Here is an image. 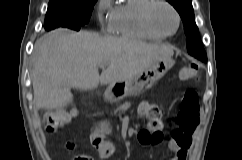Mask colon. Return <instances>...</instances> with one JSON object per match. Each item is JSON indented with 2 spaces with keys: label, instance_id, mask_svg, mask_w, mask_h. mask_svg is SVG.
Wrapping results in <instances>:
<instances>
[{
  "label": "colon",
  "instance_id": "5ec220e1",
  "mask_svg": "<svg viewBox=\"0 0 242 160\" xmlns=\"http://www.w3.org/2000/svg\"><path fill=\"white\" fill-rule=\"evenodd\" d=\"M199 75L198 64H190L181 71V79L191 80ZM147 114L152 119L150 129H144L139 134L140 142L143 145L158 144L163 139V134L159 130V119L162 110L156 106H149L146 109ZM74 110H58L45 115V129L48 133L57 132L62 126L69 123L74 117ZM199 123V100L195 90H187L182 98L180 111L178 114V127L174 129L172 135L180 142L182 146L186 145L184 134H190ZM106 142H100L97 153L101 157L110 155V151L104 146ZM74 160H93L88 154H80Z\"/></svg>",
  "mask_w": 242,
  "mask_h": 160
}]
</instances>
